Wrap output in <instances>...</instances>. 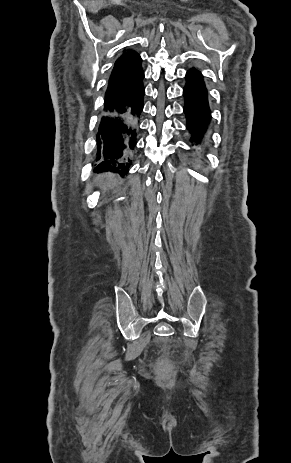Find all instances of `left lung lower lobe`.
<instances>
[{
    "instance_id": "obj_1",
    "label": "left lung lower lobe",
    "mask_w": 291,
    "mask_h": 463,
    "mask_svg": "<svg viewBox=\"0 0 291 463\" xmlns=\"http://www.w3.org/2000/svg\"><path fill=\"white\" fill-rule=\"evenodd\" d=\"M186 85L183 89L186 127L193 145H200L206 139L211 121L208 93L201 72L192 68L186 73Z\"/></svg>"
}]
</instances>
